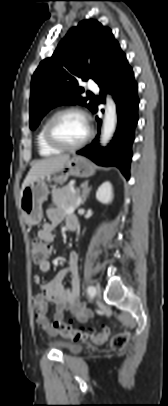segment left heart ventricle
Returning a JSON list of instances; mask_svg holds the SVG:
<instances>
[{"mask_svg": "<svg viewBox=\"0 0 168 406\" xmlns=\"http://www.w3.org/2000/svg\"><path fill=\"white\" fill-rule=\"evenodd\" d=\"M52 131L58 141L64 144H74L86 136L88 127L81 115L66 113L56 119Z\"/></svg>", "mask_w": 168, "mask_h": 406, "instance_id": "left-heart-ventricle-1", "label": "left heart ventricle"}]
</instances>
